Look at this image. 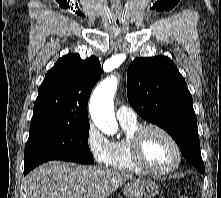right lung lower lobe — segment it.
<instances>
[{"label": "right lung lower lobe", "mask_w": 221, "mask_h": 198, "mask_svg": "<svg viewBox=\"0 0 221 198\" xmlns=\"http://www.w3.org/2000/svg\"><path fill=\"white\" fill-rule=\"evenodd\" d=\"M29 171H24V175H26Z\"/></svg>", "instance_id": "obj_1"}]
</instances>
